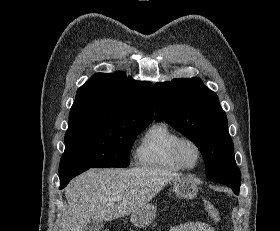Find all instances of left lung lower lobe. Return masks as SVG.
I'll return each mask as SVG.
<instances>
[{
	"label": "left lung lower lobe",
	"mask_w": 280,
	"mask_h": 231,
	"mask_svg": "<svg viewBox=\"0 0 280 231\" xmlns=\"http://www.w3.org/2000/svg\"><path fill=\"white\" fill-rule=\"evenodd\" d=\"M212 181L230 186L235 194H239L241 185V173L239 168L237 167L234 171L214 178L212 179Z\"/></svg>",
	"instance_id": "0a47b994"
}]
</instances>
